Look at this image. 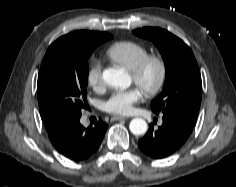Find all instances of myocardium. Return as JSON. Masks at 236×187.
Here are the masks:
<instances>
[{
	"mask_svg": "<svg viewBox=\"0 0 236 187\" xmlns=\"http://www.w3.org/2000/svg\"><path fill=\"white\" fill-rule=\"evenodd\" d=\"M150 66H155L158 71V76L156 82L150 87H143L142 91L145 96L152 97L157 95L164 87L168 69L167 64L163 57L156 54H148L144 58H142L131 70L130 73L133 77L134 83L136 85L141 84L142 78L146 72V70Z\"/></svg>",
	"mask_w": 236,
	"mask_h": 187,
	"instance_id": "obj_1",
	"label": "myocardium"
}]
</instances>
